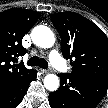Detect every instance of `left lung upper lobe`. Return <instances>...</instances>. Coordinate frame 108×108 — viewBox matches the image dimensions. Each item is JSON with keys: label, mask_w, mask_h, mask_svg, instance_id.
<instances>
[{"label": "left lung upper lobe", "mask_w": 108, "mask_h": 108, "mask_svg": "<svg viewBox=\"0 0 108 108\" xmlns=\"http://www.w3.org/2000/svg\"><path fill=\"white\" fill-rule=\"evenodd\" d=\"M73 75L108 80V38L93 22L72 12L51 15Z\"/></svg>", "instance_id": "obj_1"}]
</instances>
